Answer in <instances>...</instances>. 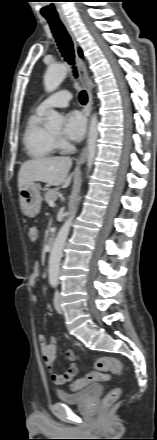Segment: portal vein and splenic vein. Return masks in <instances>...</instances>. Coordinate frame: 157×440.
<instances>
[{
	"mask_svg": "<svg viewBox=\"0 0 157 440\" xmlns=\"http://www.w3.org/2000/svg\"><path fill=\"white\" fill-rule=\"evenodd\" d=\"M49 205H50V207H55V202H54V201H51V202L49 203Z\"/></svg>",
	"mask_w": 157,
	"mask_h": 440,
	"instance_id": "18ae733b",
	"label": "portal vein and splenic vein"
}]
</instances>
